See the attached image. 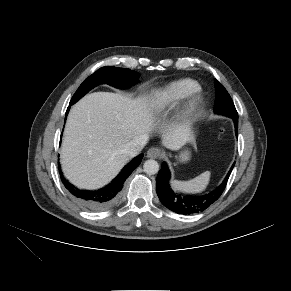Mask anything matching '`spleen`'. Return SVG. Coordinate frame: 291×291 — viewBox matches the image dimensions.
Masks as SVG:
<instances>
[{
    "label": "spleen",
    "mask_w": 291,
    "mask_h": 291,
    "mask_svg": "<svg viewBox=\"0 0 291 291\" xmlns=\"http://www.w3.org/2000/svg\"><path fill=\"white\" fill-rule=\"evenodd\" d=\"M210 180V172L205 171L199 176L191 179L189 181H177L174 180L171 182V185L174 189L180 190L188 193H199L203 191L208 185Z\"/></svg>",
    "instance_id": "1"
}]
</instances>
